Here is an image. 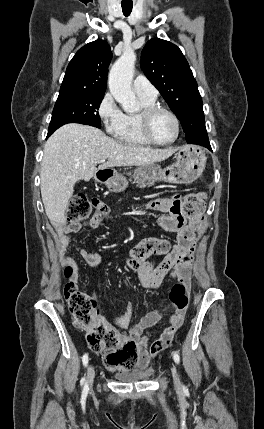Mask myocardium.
<instances>
[{
    "instance_id": "1",
    "label": "myocardium",
    "mask_w": 264,
    "mask_h": 429,
    "mask_svg": "<svg viewBox=\"0 0 264 429\" xmlns=\"http://www.w3.org/2000/svg\"><path fill=\"white\" fill-rule=\"evenodd\" d=\"M158 113H165L169 115L175 123L176 133L174 138L170 141L160 142L154 138L151 132L152 119ZM138 119H139L141 133L150 144L158 145V146H168L175 143L180 135L181 126H180V120L178 116L172 110L164 106L154 104V105L143 107L141 111L138 113Z\"/></svg>"
}]
</instances>
